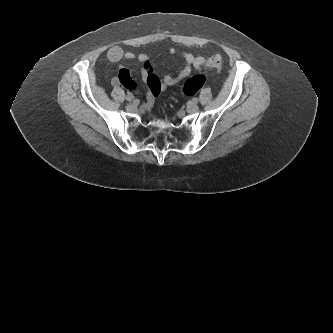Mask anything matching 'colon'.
Here are the masks:
<instances>
[{
	"mask_svg": "<svg viewBox=\"0 0 333 333\" xmlns=\"http://www.w3.org/2000/svg\"><path fill=\"white\" fill-rule=\"evenodd\" d=\"M222 59L219 56L211 57L207 60L206 66L210 70H220L222 67ZM206 77L203 74H198L183 84V93L186 95H193L197 93L205 84Z\"/></svg>",
	"mask_w": 333,
	"mask_h": 333,
	"instance_id": "1",
	"label": "colon"
}]
</instances>
